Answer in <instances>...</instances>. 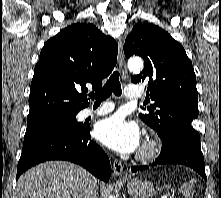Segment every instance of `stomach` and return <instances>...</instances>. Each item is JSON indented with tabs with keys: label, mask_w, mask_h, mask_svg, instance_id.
<instances>
[{
	"label": "stomach",
	"mask_w": 221,
	"mask_h": 198,
	"mask_svg": "<svg viewBox=\"0 0 221 198\" xmlns=\"http://www.w3.org/2000/svg\"><path fill=\"white\" fill-rule=\"evenodd\" d=\"M127 191L133 198H150L155 194L154 185L141 178H133L127 181Z\"/></svg>",
	"instance_id": "obj_1"
}]
</instances>
